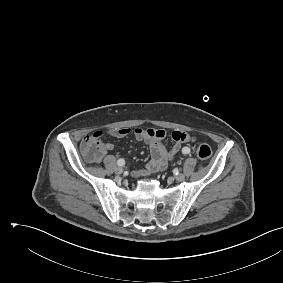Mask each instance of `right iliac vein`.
Listing matches in <instances>:
<instances>
[{
    "label": "right iliac vein",
    "instance_id": "1",
    "mask_svg": "<svg viewBox=\"0 0 283 283\" xmlns=\"http://www.w3.org/2000/svg\"><path fill=\"white\" fill-rule=\"evenodd\" d=\"M115 173L118 174V175L122 174L123 173V168L122 167H117L115 169Z\"/></svg>",
    "mask_w": 283,
    "mask_h": 283
}]
</instances>
